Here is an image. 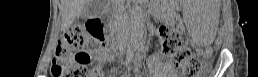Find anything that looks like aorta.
I'll list each match as a JSON object with an SVG mask.
<instances>
[{"label":"aorta","instance_id":"obj_1","mask_svg":"<svg viewBox=\"0 0 258 77\" xmlns=\"http://www.w3.org/2000/svg\"><path fill=\"white\" fill-rule=\"evenodd\" d=\"M131 16L135 20H140L141 19L142 15H141L140 9L137 5L132 8Z\"/></svg>","mask_w":258,"mask_h":77}]
</instances>
